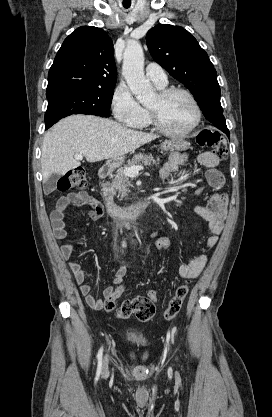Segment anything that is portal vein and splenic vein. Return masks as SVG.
Masks as SVG:
<instances>
[{
	"label": "portal vein and splenic vein",
	"mask_w": 272,
	"mask_h": 417,
	"mask_svg": "<svg viewBox=\"0 0 272 417\" xmlns=\"http://www.w3.org/2000/svg\"><path fill=\"white\" fill-rule=\"evenodd\" d=\"M74 158L76 160H82L83 156H82V154H75ZM143 169H144L143 166L137 165V166H132V167L125 168L123 170V173L126 176H135L139 173L140 170H143Z\"/></svg>",
	"instance_id": "obj_1"
}]
</instances>
